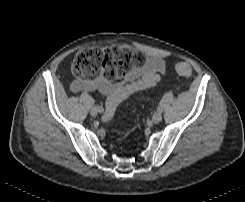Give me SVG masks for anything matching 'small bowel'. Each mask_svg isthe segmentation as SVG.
I'll list each match as a JSON object with an SVG mask.
<instances>
[{
  "label": "small bowel",
  "mask_w": 245,
  "mask_h": 202,
  "mask_svg": "<svg viewBox=\"0 0 245 202\" xmlns=\"http://www.w3.org/2000/svg\"><path fill=\"white\" fill-rule=\"evenodd\" d=\"M166 73V65L162 58L157 56L147 57L141 67H134L124 80L111 81L100 77L93 80L77 79L73 83L76 92L99 91L107 95L108 104L116 107L122 100L130 95L154 86L160 75Z\"/></svg>",
  "instance_id": "obj_1"
}]
</instances>
